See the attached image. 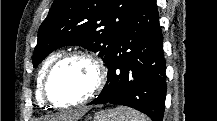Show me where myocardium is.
Instances as JSON below:
<instances>
[{
  "mask_svg": "<svg viewBox=\"0 0 217 121\" xmlns=\"http://www.w3.org/2000/svg\"><path fill=\"white\" fill-rule=\"evenodd\" d=\"M75 58H84L92 63V65L94 66L96 70V81H95V84L92 90L83 99L75 103H72V104L61 105L52 98L50 94V83H51V80H52V77L55 71L66 61L75 59ZM106 75L107 73H106L105 65L103 64L101 59L98 58L96 55L88 51H84V50H76V51H72L69 53H65V54L60 55V57H58L48 69L45 75L44 81H43V86H42L43 96L46 102L54 109L68 110L74 107L82 106V105L89 103L91 100L94 99V97L97 94L101 92V90L104 87L105 81H106Z\"/></svg>",
  "mask_w": 217,
  "mask_h": 121,
  "instance_id": "f54148a6",
  "label": "myocardium"
}]
</instances>
